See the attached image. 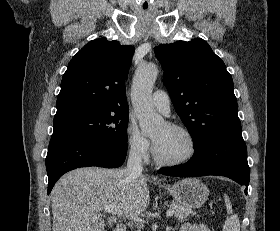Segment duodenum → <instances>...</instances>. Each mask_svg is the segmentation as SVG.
Instances as JSON below:
<instances>
[{"label": "duodenum", "mask_w": 280, "mask_h": 231, "mask_svg": "<svg viewBox=\"0 0 280 231\" xmlns=\"http://www.w3.org/2000/svg\"><path fill=\"white\" fill-rule=\"evenodd\" d=\"M115 231H126V228L123 226H118L115 228Z\"/></svg>", "instance_id": "410a0bca"}]
</instances>
